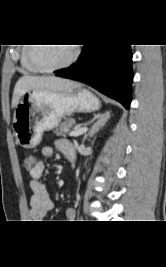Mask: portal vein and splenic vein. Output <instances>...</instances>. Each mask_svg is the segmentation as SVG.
<instances>
[{"label":"portal vein and splenic vein","instance_id":"1","mask_svg":"<svg viewBox=\"0 0 166 267\" xmlns=\"http://www.w3.org/2000/svg\"><path fill=\"white\" fill-rule=\"evenodd\" d=\"M87 130H88L87 127H83V128H80V129L71 131V132L69 133V135H70V136H80V135L86 133Z\"/></svg>","mask_w":166,"mask_h":267}]
</instances>
